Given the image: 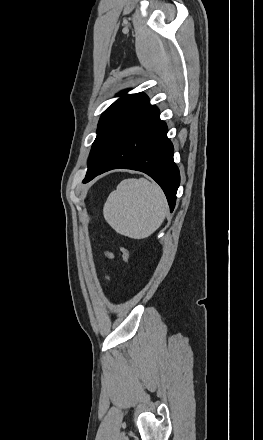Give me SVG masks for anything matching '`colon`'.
<instances>
[{
    "label": "colon",
    "instance_id": "5ec220e1",
    "mask_svg": "<svg viewBox=\"0 0 263 440\" xmlns=\"http://www.w3.org/2000/svg\"><path fill=\"white\" fill-rule=\"evenodd\" d=\"M122 258L127 265H130V250L127 247L122 246L120 248Z\"/></svg>",
    "mask_w": 263,
    "mask_h": 440
}]
</instances>
